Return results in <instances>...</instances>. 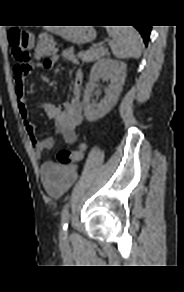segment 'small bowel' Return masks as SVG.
I'll list each match as a JSON object with an SVG mask.
<instances>
[{
    "instance_id": "obj_1",
    "label": "small bowel",
    "mask_w": 184,
    "mask_h": 292,
    "mask_svg": "<svg viewBox=\"0 0 184 292\" xmlns=\"http://www.w3.org/2000/svg\"><path fill=\"white\" fill-rule=\"evenodd\" d=\"M61 59L72 64H78L73 48L65 49L61 55H53L43 61L42 66L46 69L53 68ZM27 72H19L14 67L15 95L19 114L23 126L32 144L34 153L40 157L44 151L54 147L55 141L52 138L37 139L36 127L29 119L28 103L25 98V78ZM83 71L77 69L71 89V100L63 104H52L44 102L46 115L55 123L57 131L61 134L67 144H73L77 140L76 128L82 122L81 108V87L83 81ZM78 177L77 167L74 165H61L53 161H47L41 166V182L45 191L52 197L62 196L74 184Z\"/></svg>"
}]
</instances>
